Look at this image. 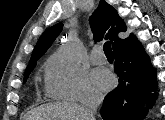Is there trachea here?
Segmentation results:
<instances>
[{
    "label": "trachea",
    "instance_id": "3493384b",
    "mask_svg": "<svg viewBox=\"0 0 165 120\" xmlns=\"http://www.w3.org/2000/svg\"><path fill=\"white\" fill-rule=\"evenodd\" d=\"M103 50H104L105 54H113L109 41L105 42Z\"/></svg>",
    "mask_w": 165,
    "mask_h": 120
}]
</instances>
